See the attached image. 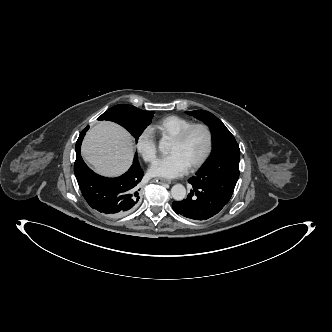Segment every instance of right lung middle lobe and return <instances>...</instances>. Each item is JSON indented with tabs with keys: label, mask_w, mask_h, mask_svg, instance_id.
<instances>
[{
	"label": "right lung middle lobe",
	"mask_w": 332,
	"mask_h": 332,
	"mask_svg": "<svg viewBox=\"0 0 332 332\" xmlns=\"http://www.w3.org/2000/svg\"><path fill=\"white\" fill-rule=\"evenodd\" d=\"M154 115L152 111H143L134 106L120 104L108 109L99 116L98 120H110L116 122L127 129L136 139L141 135L143 130L151 123ZM134 160L137 159V153Z\"/></svg>",
	"instance_id": "right-lung-middle-lobe-1"
}]
</instances>
